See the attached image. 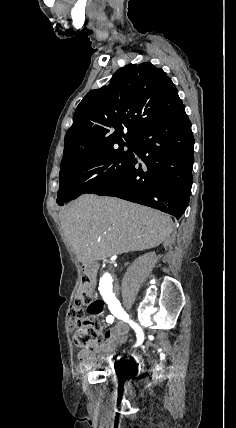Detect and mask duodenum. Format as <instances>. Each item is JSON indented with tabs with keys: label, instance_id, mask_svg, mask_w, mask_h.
<instances>
[{
	"label": "duodenum",
	"instance_id": "1",
	"mask_svg": "<svg viewBox=\"0 0 236 428\" xmlns=\"http://www.w3.org/2000/svg\"><path fill=\"white\" fill-rule=\"evenodd\" d=\"M96 270H97V266L94 263H86L84 265V274L92 283L95 280Z\"/></svg>",
	"mask_w": 236,
	"mask_h": 428
}]
</instances>
